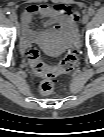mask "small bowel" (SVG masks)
<instances>
[{"label":"small bowel","instance_id":"1","mask_svg":"<svg viewBox=\"0 0 104 137\" xmlns=\"http://www.w3.org/2000/svg\"><path fill=\"white\" fill-rule=\"evenodd\" d=\"M37 15L44 20L45 26L51 27L56 32H67L72 41H76L74 23L78 20L77 13L63 4L43 3L29 5L22 12L23 46L28 45L40 36L31 29L33 18Z\"/></svg>","mask_w":104,"mask_h":137}]
</instances>
